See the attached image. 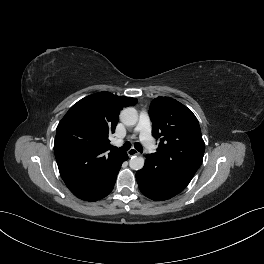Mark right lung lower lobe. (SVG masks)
I'll return each instance as SVG.
<instances>
[{
    "label": "right lung lower lobe",
    "mask_w": 264,
    "mask_h": 264,
    "mask_svg": "<svg viewBox=\"0 0 264 264\" xmlns=\"http://www.w3.org/2000/svg\"><path fill=\"white\" fill-rule=\"evenodd\" d=\"M128 159V155L126 154L125 155V157H124V159L122 160V162L119 164V166H118V169H117V174H118V172H119V170H120V168H121V164L123 163V161H126ZM117 174H116V177H115V179H114V182H113V185H112V187H111V189L109 190V192L107 193V195L112 191V189H113V187H114V184H115V180H116V178H117ZM106 195V196H107Z\"/></svg>",
    "instance_id": "1"
}]
</instances>
